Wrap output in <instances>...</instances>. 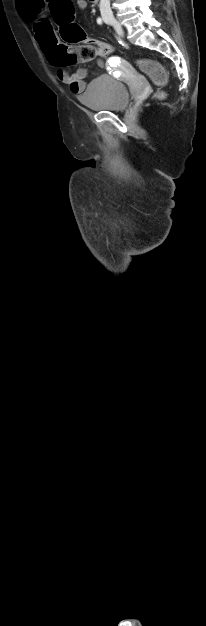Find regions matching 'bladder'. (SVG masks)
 Here are the masks:
<instances>
[{"instance_id":"31cf9c89","label":"bladder","mask_w":206,"mask_h":626,"mask_svg":"<svg viewBox=\"0 0 206 626\" xmlns=\"http://www.w3.org/2000/svg\"><path fill=\"white\" fill-rule=\"evenodd\" d=\"M80 102L96 111H119L125 109L130 100L127 87L109 75L92 80L79 97Z\"/></svg>"}]
</instances>
